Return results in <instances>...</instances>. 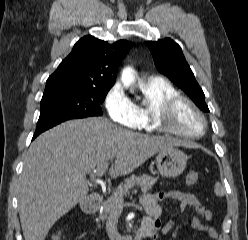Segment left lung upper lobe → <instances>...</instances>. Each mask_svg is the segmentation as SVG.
<instances>
[{
    "label": "left lung upper lobe",
    "instance_id": "5c2ea615",
    "mask_svg": "<svg viewBox=\"0 0 248 240\" xmlns=\"http://www.w3.org/2000/svg\"><path fill=\"white\" fill-rule=\"evenodd\" d=\"M157 70L181 88L203 111L209 112L205 95L197 83L180 46L170 38L147 42Z\"/></svg>",
    "mask_w": 248,
    "mask_h": 240
}]
</instances>
